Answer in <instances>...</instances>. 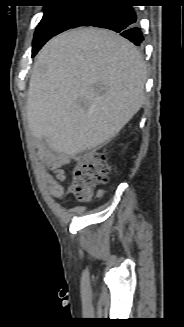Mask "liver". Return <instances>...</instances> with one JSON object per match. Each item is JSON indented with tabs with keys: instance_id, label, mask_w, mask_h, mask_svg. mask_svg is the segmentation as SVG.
Returning a JSON list of instances; mask_svg holds the SVG:
<instances>
[{
	"instance_id": "1",
	"label": "liver",
	"mask_w": 184,
	"mask_h": 327,
	"mask_svg": "<svg viewBox=\"0 0 184 327\" xmlns=\"http://www.w3.org/2000/svg\"><path fill=\"white\" fill-rule=\"evenodd\" d=\"M146 69L137 48L95 28L64 32L41 49L27 94L31 134L77 155L114 138L144 104Z\"/></svg>"
}]
</instances>
